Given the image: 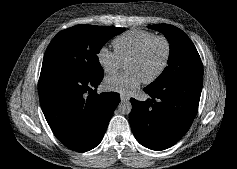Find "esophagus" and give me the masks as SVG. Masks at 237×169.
<instances>
[{"mask_svg": "<svg viewBox=\"0 0 237 169\" xmlns=\"http://www.w3.org/2000/svg\"><path fill=\"white\" fill-rule=\"evenodd\" d=\"M121 101H129L130 97L128 95L121 94L120 95Z\"/></svg>", "mask_w": 237, "mask_h": 169, "instance_id": "1", "label": "esophagus"}]
</instances>
